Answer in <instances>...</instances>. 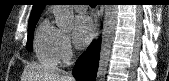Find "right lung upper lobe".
Segmentation results:
<instances>
[{
  "mask_svg": "<svg viewBox=\"0 0 169 81\" xmlns=\"http://www.w3.org/2000/svg\"><path fill=\"white\" fill-rule=\"evenodd\" d=\"M34 5L29 18V23L39 19V16L45 6V0H34Z\"/></svg>",
  "mask_w": 169,
  "mask_h": 81,
  "instance_id": "cb5924a9",
  "label": "right lung upper lobe"
}]
</instances>
